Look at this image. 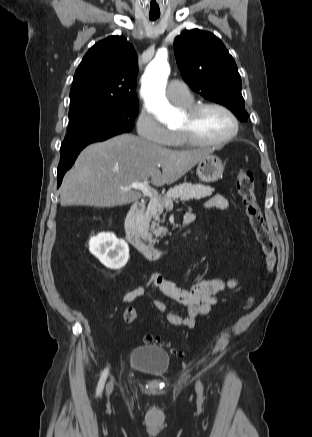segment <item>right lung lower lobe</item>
<instances>
[{
  "instance_id": "obj_1",
  "label": "right lung lower lobe",
  "mask_w": 312,
  "mask_h": 437,
  "mask_svg": "<svg viewBox=\"0 0 312 437\" xmlns=\"http://www.w3.org/2000/svg\"><path fill=\"white\" fill-rule=\"evenodd\" d=\"M90 144V143H88ZM88 144H85L83 146L74 148L70 151L61 153V157H60V163L58 166V170H57V187H59L61 185L62 179L64 174L66 173V171L68 169L71 168V166L73 165V163L75 162L78 154L80 153V151L86 147Z\"/></svg>"
}]
</instances>
